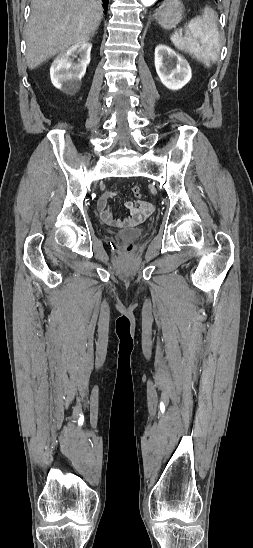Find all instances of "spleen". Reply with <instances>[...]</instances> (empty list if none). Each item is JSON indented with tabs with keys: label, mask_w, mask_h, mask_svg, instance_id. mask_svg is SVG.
Here are the masks:
<instances>
[{
	"label": "spleen",
	"mask_w": 253,
	"mask_h": 548,
	"mask_svg": "<svg viewBox=\"0 0 253 548\" xmlns=\"http://www.w3.org/2000/svg\"><path fill=\"white\" fill-rule=\"evenodd\" d=\"M189 36L178 33L171 36L177 49L197 58L205 67H210L220 56L221 42L217 27V17L212 9L204 8L202 16L191 19L186 26Z\"/></svg>",
	"instance_id": "spleen-1"
}]
</instances>
